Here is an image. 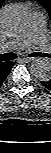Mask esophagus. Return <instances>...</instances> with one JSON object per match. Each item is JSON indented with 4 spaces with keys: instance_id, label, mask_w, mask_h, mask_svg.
<instances>
[{
    "instance_id": "34e87169",
    "label": "esophagus",
    "mask_w": 51,
    "mask_h": 153,
    "mask_svg": "<svg viewBox=\"0 0 51 153\" xmlns=\"http://www.w3.org/2000/svg\"><path fill=\"white\" fill-rule=\"evenodd\" d=\"M21 61L25 62V63H30L33 61V58L30 57H22L20 58Z\"/></svg>"
}]
</instances>
